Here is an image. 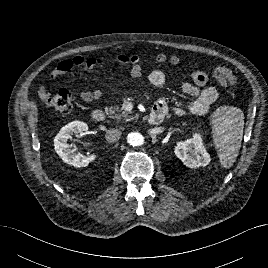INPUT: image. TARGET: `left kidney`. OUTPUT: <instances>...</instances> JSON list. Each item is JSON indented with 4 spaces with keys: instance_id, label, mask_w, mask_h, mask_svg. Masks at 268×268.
Listing matches in <instances>:
<instances>
[{
    "instance_id": "left-kidney-1",
    "label": "left kidney",
    "mask_w": 268,
    "mask_h": 268,
    "mask_svg": "<svg viewBox=\"0 0 268 268\" xmlns=\"http://www.w3.org/2000/svg\"><path fill=\"white\" fill-rule=\"evenodd\" d=\"M174 152L189 168L207 166L211 160L199 133H194L193 138L178 142Z\"/></svg>"
}]
</instances>
